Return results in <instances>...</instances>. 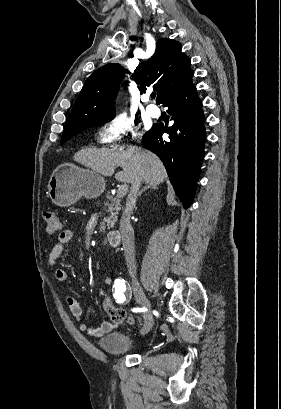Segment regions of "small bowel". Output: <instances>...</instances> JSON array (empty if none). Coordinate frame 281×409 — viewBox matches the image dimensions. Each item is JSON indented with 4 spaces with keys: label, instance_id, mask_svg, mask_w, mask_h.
Wrapping results in <instances>:
<instances>
[{
    "label": "small bowel",
    "instance_id": "1",
    "mask_svg": "<svg viewBox=\"0 0 281 409\" xmlns=\"http://www.w3.org/2000/svg\"><path fill=\"white\" fill-rule=\"evenodd\" d=\"M73 238V232L71 230H64L60 233L57 242L54 244L48 258V262L51 266L57 263V260L62 256L65 251L66 245H68ZM56 279L61 283H67L69 280L68 273L63 269H57L55 271ZM112 284V278L110 276L105 277L104 286L97 289V296L101 302V306L105 314L109 317V320L103 321L99 326L92 327L84 323V315L78 299L73 295L66 297V303L69 312L76 323L79 324V330L82 333H86L92 337H101L106 334L112 333L116 330L119 322L113 320V313L118 310L113 300L109 296V286Z\"/></svg>",
    "mask_w": 281,
    "mask_h": 409
}]
</instances>
